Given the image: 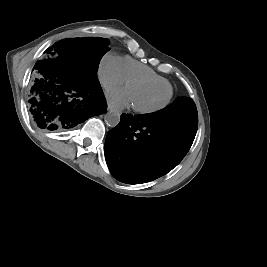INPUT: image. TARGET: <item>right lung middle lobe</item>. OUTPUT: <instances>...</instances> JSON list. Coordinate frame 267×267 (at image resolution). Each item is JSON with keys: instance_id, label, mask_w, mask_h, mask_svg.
Returning a JSON list of instances; mask_svg holds the SVG:
<instances>
[{"instance_id": "right-lung-middle-lobe-1", "label": "right lung middle lobe", "mask_w": 267, "mask_h": 267, "mask_svg": "<svg viewBox=\"0 0 267 267\" xmlns=\"http://www.w3.org/2000/svg\"><path fill=\"white\" fill-rule=\"evenodd\" d=\"M108 45L107 38H68L56 42L49 49L68 54L84 75L97 78L100 60L110 50Z\"/></svg>"}]
</instances>
